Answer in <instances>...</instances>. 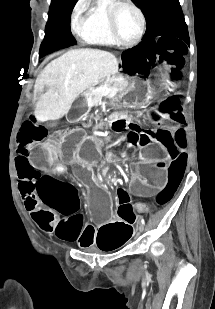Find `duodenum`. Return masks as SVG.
Returning <instances> with one entry per match:
<instances>
[{"mask_svg": "<svg viewBox=\"0 0 215 309\" xmlns=\"http://www.w3.org/2000/svg\"><path fill=\"white\" fill-rule=\"evenodd\" d=\"M114 79V78H112ZM128 124L127 119H125L120 114H113L110 116V126L114 129H122Z\"/></svg>", "mask_w": 215, "mask_h": 309, "instance_id": "1", "label": "duodenum"}]
</instances>
